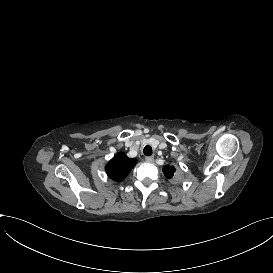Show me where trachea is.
I'll return each instance as SVG.
<instances>
[{
  "instance_id": "trachea-1",
  "label": "trachea",
  "mask_w": 273,
  "mask_h": 273,
  "mask_svg": "<svg viewBox=\"0 0 273 273\" xmlns=\"http://www.w3.org/2000/svg\"><path fill=\"white\" fill-rule=\"evenodd\" d=\"M144 154L147 156L152 155V147L150 145H146L144 150H143Z\"/></svg>"
}]
</instances>
